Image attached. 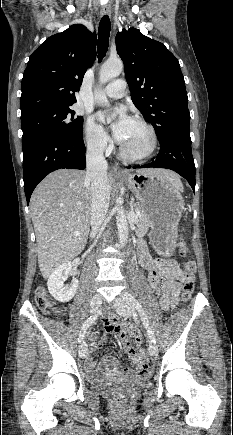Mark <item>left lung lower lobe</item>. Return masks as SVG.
<instances>
[{"label": "left lung lower lobe", "mask_w": 233, "mask_h": 435, "mask_svg": "<svg viewBox=\"0 0 233 435\" xmlns=\"http://www.w3.org/2000/svg\"><path fill=\"white\" fill-rule=\"evenodd\" d=\"M167 168L184 177L195 192V165L191 150L190 130L168 136L160 142L156 160L133 168Z\"/></svg>", "instance_id": "obj_1"}]
</instances>
